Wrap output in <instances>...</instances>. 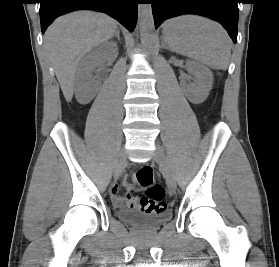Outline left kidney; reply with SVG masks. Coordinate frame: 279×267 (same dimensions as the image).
I'll return each mask as SVG.
<instances>
[{
  "mask_svg": "<svg viewBox=\"0 0 279 267\" xmlns=\"http://www.w3.org/2000/svg\"><path fill=\"white\" fill-rule=\"evenodd\" d=\"M187 64L194 80L192 83H182L183 91L191 103L201 104L206 100L212 89V71L195 61H188Z\"/></svg>",
  "mask_w": 279,
  "mask_h": 267,
  "instance_id": "5707ae66",
  "label": "left kidney"
}]
</instances>
